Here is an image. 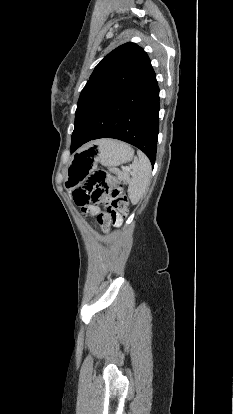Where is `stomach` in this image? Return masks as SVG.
<instances>
[{
  "instance_id": "stomach-1",
  "label": "stomach",
  "mask_w": 233,
  "mask_h": 414,
  "mask_svg": "<svg viewBox=\"0 0 233 414\" xmlns=\"http://www.w3.org/2000/svg\"><path fill=\"white\" fill-rule=\"evenodd\" d=\"M133 149L120 141L103 139L75 152L68 165L64 185L68 190L80 186L101 163L114 168L132 160Z\"/></svg>"
}]
</instances>
